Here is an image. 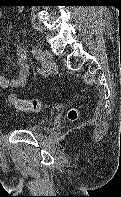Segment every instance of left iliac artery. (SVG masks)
<instances>
[{
  "label": "left iliac artery",
  "mask_w": 121,
  "mask_h": 197,
  "mask_svg": "<svg viewBox=\"0 0 121 197\" xmlns=\"http://www.w3.org/2000/svg\"><path fill=\"white\" fill-rule=\"evenodd\" d=\"M32 55L35 57V58H37V57H39V54H40V52H41V49L38 47V46H34L33 48H32Z\"/></svg>",
  "instance_id": "44dca946"
}]
</instances>
